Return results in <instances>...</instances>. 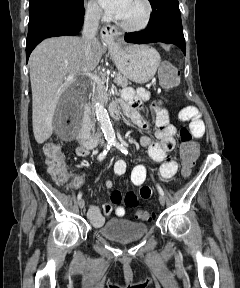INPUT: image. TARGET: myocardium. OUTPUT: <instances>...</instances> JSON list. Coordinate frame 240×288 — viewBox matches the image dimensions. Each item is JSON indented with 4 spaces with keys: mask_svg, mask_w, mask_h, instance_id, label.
Listing matches in <instances>:
<instances>
[{
    "mask_svg": "<svg viewBox=\"0 0 240 288\" xmlns=\"http://www.w3.org/2000/svg\"><path fill=\"white\" fill-rule=\"evenodd\" d=\"M146 6V16L144 20L138 25H130L122 20H119V25L122 29L128 32H139L145 30L151 23L153 16V5L150 0H142Z\"/></svg>",
    "mask_w": 240,
    "mask_h": 288,
    "instance_id": "myocardium-1",
    "label": "myocardium"
}]
</instances>
